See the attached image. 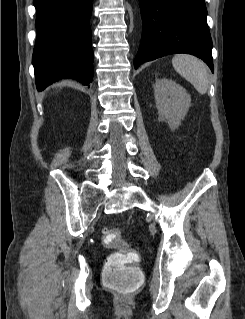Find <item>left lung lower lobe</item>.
<instances>
[{
	"label": "left lung lower lobe",
	"mask_w": 245,
	"mask_h": 319,
	"mask_svg": "<svg viewBox=\"0 0 245 319\" xmlns=\"http://www.w3.org/2000/svg\"><path fill=\"white\" fill-rule=\"evenodd\" d=\"M143 31L134 67L174 53L201 58L213 72L204 0H139Z\"/></svg>",
	"instance_id": "0a47b994"
}]
</instances>
